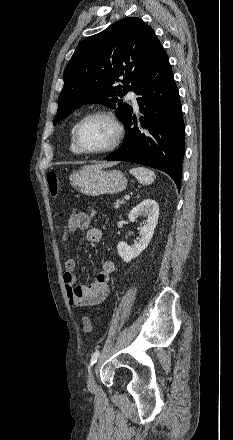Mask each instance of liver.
Returning <instances> with one entry per match:
<instances>
[{
	"mask_svg": "<svg viewBox=\"0 0 233 440\" xmlns=\"http://www.w3.org/2000/svg\"><path fill=\"white\" fill-rule=\"evenodd\" d=\"M114 164L115 163H101V164L94 165V166H91V167L102 169V168H105V167L113 166Z\"/></svg>",
	"mask_w": 233,
	"mask_h": 440,
	"instance_id": "6515ba94",
	"label": "liver"
}]
</instances>
